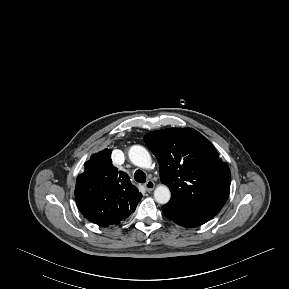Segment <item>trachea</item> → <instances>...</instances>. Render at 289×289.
<instances>
[{
	"label": "trachea",
	"mask_w": 289,
	"mask_h": 289,
	"mask_svg": "<svg viewBox=\"0 0 289 289\" xmlns=\"http://www.w3.org/2000/svg\"><path fill=\"white\" fill-rule=\"evenodd\" d=\"M134 179L139 183H145L146 182V174L142 170H137L134 173Z\"/></svg>",
	"instance_id": "trachea-1"
}]
</instances>
